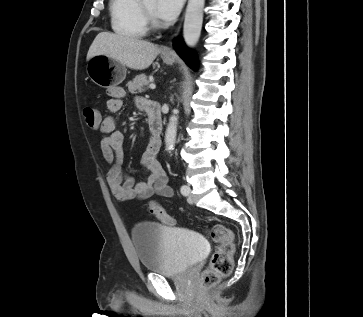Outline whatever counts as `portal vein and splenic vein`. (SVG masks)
I'll use <instances>...</instances> for the list:
<instances>
[{
	"label": "portal vein and splenic vein",
	"mask_w": 363,
	"mask_h": 317,
	"mask_svg": "<svg viewBox=\"0 0 363 317\" xmlns=\"http://www.w3.org/2000/svg\"><path fill=\"white\" fill-rule=\"evenodd\" d=\"M149 88L153 90V89H155V88H156V85H155V84H150V85H149Z\"/></svg>",
	"instance_id": "obj_1"
}]
</instances>
